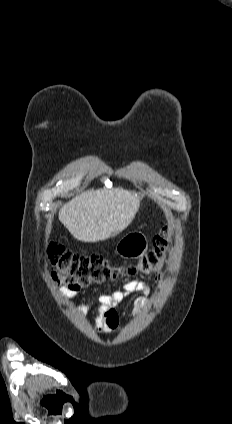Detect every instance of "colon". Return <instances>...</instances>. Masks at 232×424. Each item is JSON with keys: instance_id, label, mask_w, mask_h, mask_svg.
I'll return each mask as SVG.
<instances>
[{"instance_id": "colon-1", "label": "colon", "mask_w": 232, "mask_h": 424, "mask_svg": "<svg viewBox=\"0 0 232 424\" xmlns=\"http://www.w3.org/2000/svg\"><path fill=\"white\" fill-rule=\"evenodd\" d=\"M170 229L164 226L154 237L152 248L135 264L114 266L101 254H76L64 247L50 243L48 256L53 270V280L71 289H80L121 276H135L160 270L171 252Z\"/></svg>"}]
</instances>
